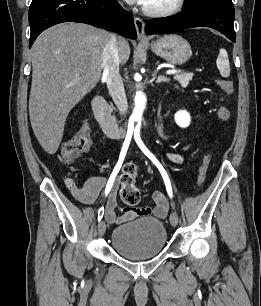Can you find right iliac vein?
<instances>
[{
  "label": "right iliac vein",
  "instance_id": "right-iliac-vein-1",
  "mask_svg": "<svg viewBox=\"0 0 261 306\" xmlns=\"http://www.w3.org/2000/svg\"><path fill=\"white\" fill-rule=\"evenodd\" d=\"M106 231V224L104 221H100L98 224V234L103 236Z\"/></svg>",
  "mask_w": 261,
  "mask_h": 306
}]
</instances>
